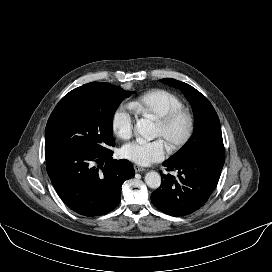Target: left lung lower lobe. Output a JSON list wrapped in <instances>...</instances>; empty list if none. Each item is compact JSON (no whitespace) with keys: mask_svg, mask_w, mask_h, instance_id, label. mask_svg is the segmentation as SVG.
Returning <instances> with one entry per match:
<instances>
[{"mask_svg":"<svg viewBox=\"0 0 272 272\" xmlns=\"http://www.w3.org/2000/svg\"><path fill=\"white\" fill-rule=\"evenodd\" d=\"M163 166L177 171L178 176L162 174V184L151 194V201L160 211L176 217L199 210L216 188L222 171V167L193 158L167 160Z\"/></svg>","mask_w":272,"mask_h":272,"instance_id":"left-lung-lower-lobe-1","label":"left lung lower lobe"}]
</instances>
